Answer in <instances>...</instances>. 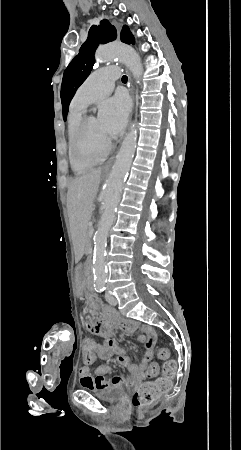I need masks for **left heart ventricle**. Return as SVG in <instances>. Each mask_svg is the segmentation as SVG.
I'll list each match as a JSON object with an SVG mask.
<instances>
[{
	"label": "left heart ventricle",
	"instance_id": "obj_1",
	"mask_svg": "<svg viewBox=\"0 0 241 450\" xmlns=\"http://www.w3.org/2000/svg\"><path fill=\"white\" fill-rule=\"evenodd\" d=\"M85 132L81 138L80 151L85 153L82 162L89 168L94 166L91 156L104 157L111 144V135L105 122L87 121L85 123Z\"/></svg>",
	"mask_w": 241,
	"mask_h": 450
}]
</instances>
